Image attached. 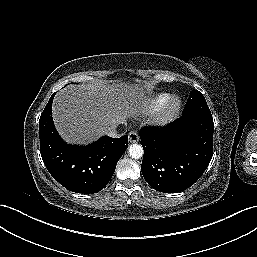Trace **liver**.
I'll return each instance as SVG.
<instances>
[{
	"mask_svg": "<svg viewBox=\"0 0 257 257\" xmlns=\"http://www.w3.org/2000/svg\"><path fill=\"white\" fill-rule=\"evenodd\" d=\"M149 88V83L142 86L111 81L64 88L52 105L56 129L67 143H90L137 114L146 100L144 89Z\"/></svg>",
	"mask_w": 257,
	"mask_h": 257,
	"instance_id": "6515ba94",
	"label": "liver"
}]
</instances>
